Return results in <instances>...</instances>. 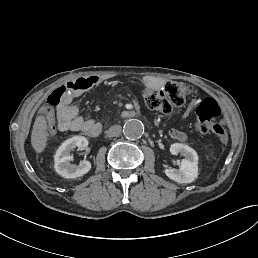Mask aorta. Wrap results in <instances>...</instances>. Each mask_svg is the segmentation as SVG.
Returning <instances> with one entry per match:
<instances>
[{"label":"aorta","instance_id":"762f6f07","mask_svg":"<svg viewBox=\"0 0 258 258\" xmlns=\"http://www.w3.org/2000/svg\"><path fill=\"white\" fill-rule=\"evenodd\" d=\"M123 133L128 139H139L144 134V125L138 119H130L124 124Z\"/></svg>","mask_w":258,"mask_h":258}]
</instances>
